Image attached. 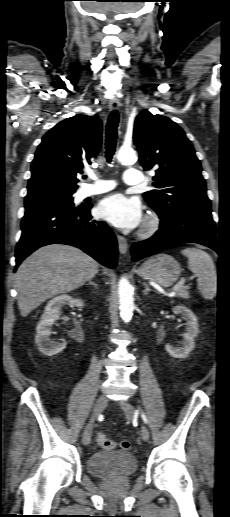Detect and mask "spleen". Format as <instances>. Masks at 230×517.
<instances>
[{"label": "spleen", "mask_w": 230, "mask_h": 517, "mask_svg": "<svg viewBox=\"0 0 230 517\" xmlns=\"http://www.w3.org/2000/svg\"><path fill=\"white\" fill-rule=\"evenodd\" d=\"M181 253L188 257V268L198 277V290L202 296L213 299L217 293V273L210 255L197 248H186Z\"/></svg>", "instance_id": "3e777b00"}]
</instances>
